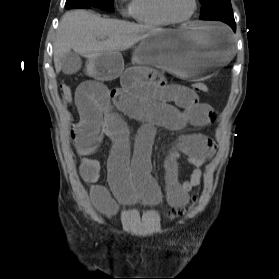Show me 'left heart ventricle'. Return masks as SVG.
Wrapping results in <instances>:
<instances>
[{"label":"left heart ventricle","mask_w":279,"mask_h":279,"mask_svg":"<svg viewBox=\"0 0 279 279\" xmlns=\"http://www.w3.org/2000/svg\"><path fill=\"white\" fill-rule=\"evenodd\" d=\"M168 11L177 18L188 16L193 9V0H166Z\"/></svg>","instance_id":"1"}]
</instances>
